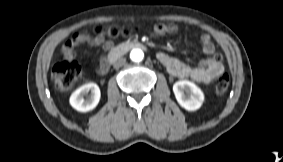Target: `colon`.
Returning a JSON list of instances; mask_svg holds the SVG:
<instances>
[{
	"instance_id": "1",
	"label": "colon",
	"mask_w": 283,
	"mask_h": 162,
	"mask_svg": "<svg viewBox=\"0 0 283 162\" xmlns=\"http://www.w3.org/2000/svg\"><path fill=\"white\" fill-rule=\"evenodd\" d=\"M131 29L128 27L111 26L105 28L98 25L94 28L95 35H105L116 38L130 34ZM81 73V68L75 61H59L52 68V79L55 84L63 90H68L74 86ZM230 83V78L227 73L221 74L214 83L215 92L219 95L224 94Z\"/></svg>"
}]
</instances>
